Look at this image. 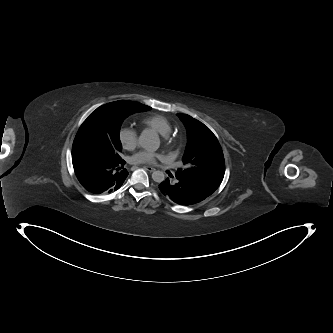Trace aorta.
<instances>
[{
    "label": "aorta",
    "mask_w": 333,
    "mask_h": 333,
    "mask_svg": "<svg viewBox=\"0 0 333 333\" xmlns=\"http://www.w3.org/2000/svg\"><path fill=\"white\" fill-rule=\"evenodd\" d=\"M139 145L147 151H156L160 146L158 134L153 131H143L139 137ZM152 179L160 183L165 180V174L160 170L154 171Z\"/></svg>",
    "instance_id": "1"
}]
</instances>
